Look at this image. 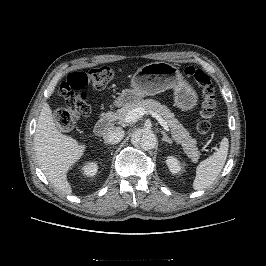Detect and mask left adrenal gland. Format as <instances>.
I'll use <instances>...</instances> for the list:
<instances>
[{
    "label": "left adrenal gland",
    "mask_w": 266,
    "mask_h": 266,
    "mask_svg": "<svg viewBox=\"0 0 266 266\" xmlns=\"http://www.w3.org/2000/svg\"><path fill=\"white\" fill-rule=\"evenodd\" d=\"M161 134L163 135L162 141L168 143V144H172V140L167 136V134L165 133V131H161Z\"/></svg>",
    "instance_id": "a2214340"
}]
</instances>
